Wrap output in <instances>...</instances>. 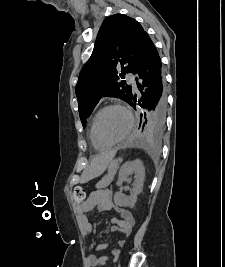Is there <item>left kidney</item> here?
I'll list each match as a JSON object with an SVG mask.
<instances>
[{
  "label": "left kidney",
  "mask_w": 225,
  "mask_h": 267,
  "mask_svg": "<svg viewBox=\"0 0 225 267\" xmlns=\"http://www.w3.org/2000/svg\"><path fill=\"white\" fill-rule=\"evenodd\" d=\"M130 174L135 175L133 193L130 196H125L120 192H116L114 195V203L117 206L132 207L135 205L137 196L142 191L145 178V168L142 161L134 160L124 163L119 171L117 185L121 186L123 181H125Z\"/></svg>",
  "instance_id": "1"
}]
</instances>
